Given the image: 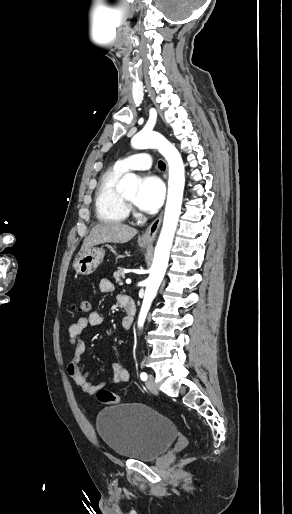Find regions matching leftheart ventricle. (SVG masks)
Returning <instances> with one entry per match:
<instances>
[{
	"mask_svg": "<svg viewBox=\"0 0 292 514\" xmlns=\"http://www.w3.org/2000/svg\"><path fill=\"white\" fill-rule=\"evenodd\" d=\"M129 201L135 203L136 193L135 191L121 192Z\"/></svg>",
	"mask_w": 292,
	"mask_h": 514,
	"instance_id": "left-heart-ventricle-1",
	"label": "left heart ventricle"
}]
</instances>
